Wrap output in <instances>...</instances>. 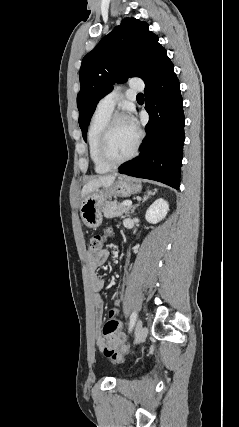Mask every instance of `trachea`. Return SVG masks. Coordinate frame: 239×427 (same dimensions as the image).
<instances>
[{
    "instance_id": "trachea-1",
    "label": "trachea",
    "mask_w": 239,
    "mask_h": 427,
    "mask_svg": "<svg viewBox=\"0 0 239 427\" xmlns=\"http://www.w3.org/2000/svg\"><path fill=\"white\" fill-rule=\"evenodd\" d=\"M137 97H143V94H142V93H139V94L137 95Z\"/></svg>"
}]
</instances>
